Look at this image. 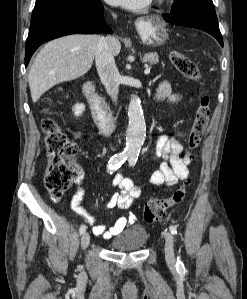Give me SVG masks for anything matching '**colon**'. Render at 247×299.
Instances as JSON below:
<instances>
[{"instance_id": "colon-1", "label": "colon", "mask_w": 247, "mask_h": 299, "mask_svg": "<svg viewBox=\"0 0 247 299\" xmlns=\"http://www.w3.org/2000/svg\"><path fill=\"white\" fill-rule=\"evenodd\" d=\"M170 58L174 67L183 76L194 82L200 81L201 73L197 64L184 53L173 51ZM210 114V98L203 89H200L199 105L187 140L190 149H196L199 146L207 130ZM42 130L46 149L45 187L54 197H61L76 177L73 162L77 146L61 130L59 124L50 117L43 119ZM186 187L187 183L185 182L169 197L148 200L144 209L145 221L148 223L159 221L168 208L183 200Z\"/></svg>"}]
</instances>
